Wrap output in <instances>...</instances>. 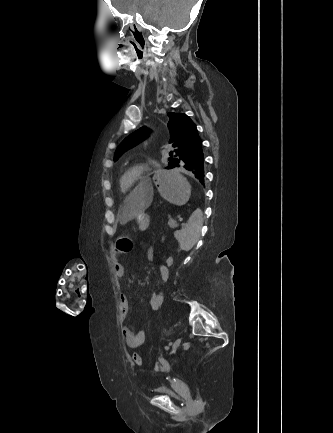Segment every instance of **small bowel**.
<instances>
[{"mask_svg": "<svg viewBox=\"0 0 333 433\" xmlns=\"http://www.w3.org/2000/svg\"><path fill=\"white\" fill-rule=\"evenodd\" d=\"M122 252H119L116 248L114 249V252H113V268H114L116 277L119 280L123 277L124 272H125L124 266L119 259V255ZM147 259L149 261H155L156 260V251L154 248H149L147 250ZM159 272H160V277H161L162 281H164V282L167 281L169 278V268L165 265V263L159 265ZM156 293H158V295H159L158 297L163 304L164 300H165L164 293L161 291L156 292ZM151 310H152V308H151ZM128 314H129V301H128L127 296L122 294V295H120V298H119V316H120V319L123 321L122 335H123V338H124L126 345L129 348H137L138 346H140L141 344H143L145 342V340L147 338V333L145 330L134 331L127 323H125L124 321L127 318Z\"/></svg>", "mask_w": 333, "mask_h": 433, "instance_id": "obj_1", "label": "small bowel"}]
</instances>
